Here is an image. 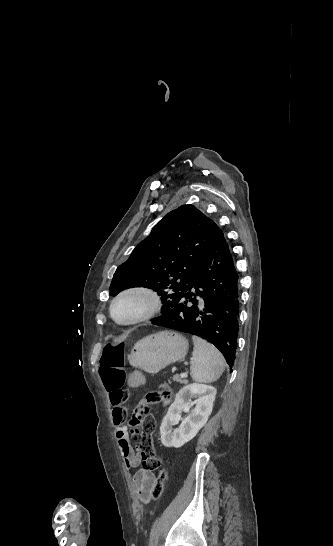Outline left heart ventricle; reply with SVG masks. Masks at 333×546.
Segmentation results:
<instances>
[{
	"instance_id": "left-heart-ventricle-1",
	"label": "left heart ventricle",
	"mask_w": 333,
	"mask_h": 546,
	"mask_svg": "<svg viewBox=\"0 0 333 546\" xmlns=\"http://www.w3.org/2000/svg\"><path fill=\"white\" fill-rule=\"evenodd\" d=\"M142 306L139 298H127L120 302L115 308V315L120 320H125L133 316Z\"/></svg>"
}]
</instances>
